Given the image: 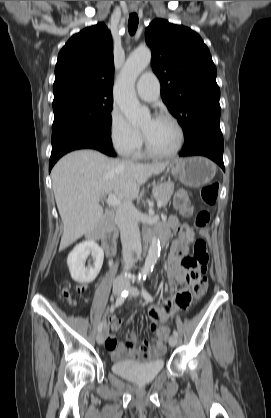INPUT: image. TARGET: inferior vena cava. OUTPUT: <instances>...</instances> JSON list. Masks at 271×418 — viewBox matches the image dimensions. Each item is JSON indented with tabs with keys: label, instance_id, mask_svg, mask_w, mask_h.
<instances>
[{
	"label": "inferior vena cava",
	"instance_id": "inferior-vena-cava-1",
	"mask_svg": "<svg viewBox=\"0 0 271 418\" xmlns=\"http://www.w3.org/2000/svg\"><path fill=\"white\" fill-rule=\"evenodd\" d=\"M115 222L120 229L123 259L125 270L127 271L133 265L132 254L141 251V239L136 220V211L131 200H124L117 207ZM126 281L127 279L122 274L116 278L115 283L122 284Z\"/></svg>",
	"mask_w": 271,
	"mask_h": 418
}]
</instances>
